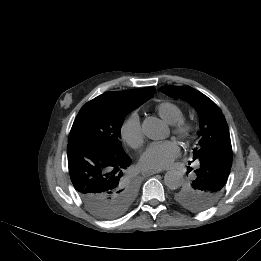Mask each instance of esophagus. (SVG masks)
<instances>
[{
    "label": "esophagus",
    "mask_w": 261,
    "mask_h": 261,
    "mask_svg": "<svg viewBox=\"0 0 261 261\" xmlns=\"http://www.w3.org/2000/svg\"><path fill=\"white\" fill-rule=\"evenodd\" d=\"M160 172H161L160 170H149V171L142 172V175L144 177H147V176H151L153 174H157V173H160Z\"/></svg>",
    "instance_id": "1"
}]
</instances>
